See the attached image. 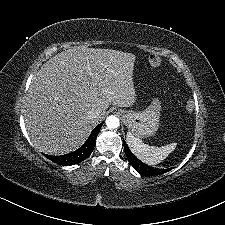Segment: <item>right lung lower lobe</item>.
Returning <instances> with one entry per match:
<instances>
[{"mask_svg": "<svg viewBox=\"0 0 225 225\" xmlns=\"http://www.w3.org/2000/svg\"><path fill=\"white\" fill-rule=\"evenodd\" d=\"M102 124L103 123L94 128L86 142L76 151L61 156H45L60 165H74L82 162L92 153L96 143V137L99 134Z\"/></svg>", "mask_w": 225, "mask_h": 225, "instance_id": "right-lung-lower-lobe-1", "label": "right lung lower lobe"}]
</instances>
